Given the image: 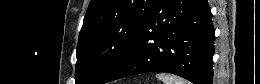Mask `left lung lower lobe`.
<instances>
[{
	"instance_id": "obj_1",
	"label": "left lung lower lobe",
	"mask_w": 260,
	"mask_h": 84,
	"mask_svg": "<svg viewBox=\"0 0 260 84\" xmlns=\"http://www.w3.org/2000/svg\"><path fill=\"white\" fill-rule=\"evenodd\" d=\"M214 28L207 0H156L123 61L105 81L168 72L212 84Z\"/></svg>"
}]
</instances>
